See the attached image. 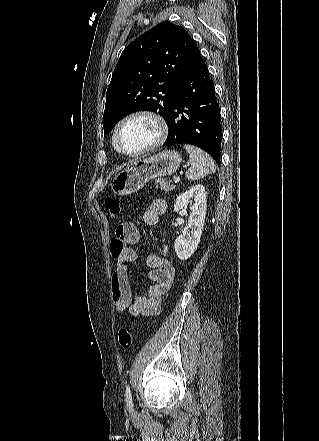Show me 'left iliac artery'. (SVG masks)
Instances as JSON below:
<instances>
[{
  "mask_svg": "<svg viewBox=\"0 0 319 441\" xmlns=\"http://www.w3.org/2000/svg\"><path fill=\"white\" fill-rule=\"evenodd\" d=\"M125 400H126L127 407L129 409H132V407H133L132 394H131V390H130L129 386L126 387Z\"/></svg>",
  "mask_w": 319,
  "mask_h": 441,
  "instance_id": "1",
  "label": "left iliac artery"
}]
</instances>
